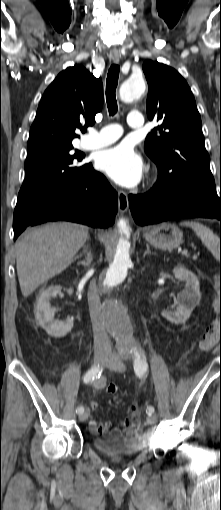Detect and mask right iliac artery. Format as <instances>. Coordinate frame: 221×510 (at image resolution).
I'll list each match as a JSON object with an SVG mask.
<instances>
[{"instance_id": "1", "label": "right iliac artery", "mask_w": 221, "mask_h": 510, "mask_svg": "<svg viewBox=\"0 0 221 510\" xmlns=\"http://www.w3.org/2000/svg\"><path fill=\"white\" fill-rule=\"evenodd\" d=\"M102 373V368L98 365V366H92L91 369L85 374L84 378H83V381L84 383H89L97 378L100 377ZM84 411V407L83 406H79L76 410L77 413H82Z\"/></svg>"}]
</instances>
